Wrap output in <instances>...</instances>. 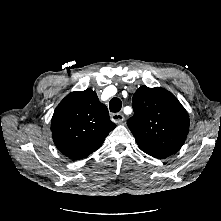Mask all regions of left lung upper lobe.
Listing matches in <instances>:
<instances>
[{"mask_svg": "<svg viewBox=\"0 0 221 221\" xmlns=\"http://www.w3.org/2000/svg\"><path fill=\"white\" fill-rule=\"evenodd\" d=\"M133 110L127 125L143 152L164 158L182 147L189 117L172 93L159 87L142 86L133 96Z\"/></svg>", "mask_w": 221, "mask_h": 221, "instance_id": "left-lung-upper-lobe-1", "label": "left lung upper lobe"}]
</instances>
